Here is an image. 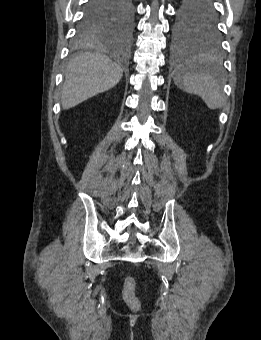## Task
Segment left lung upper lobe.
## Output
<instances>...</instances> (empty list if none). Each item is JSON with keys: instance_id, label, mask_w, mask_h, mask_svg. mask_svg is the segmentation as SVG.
I'll return each instance as SVG.
<instances>
[{"instance_id": "left-lung-upper-lobe-1", "label": "left lung upper lobe", "mask_w": 261, "mask_h": 340, "mask_svg": "<svg viewBox=\"0 0 261 340\" xmlns=\"http://www.w3.org/2000/svg\"><path fill=\"white\" fill-rule=\"evenodd\" d=\"M205 0H183L173 26V45L211 58L222 56V38L213 5Z\"/></svg>"}]
</instances>
